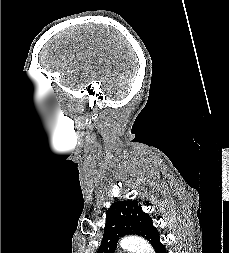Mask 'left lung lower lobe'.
I'll list each match as a JSON object with an SVG mask.
<instances>
[{
  "label": "left lung lower lobe",
  "instance_id": "0a47b994",
  "mask_svg": "<svg viewBox=\"0 0 229 253\" xmlns=\"http://www.w3.org/2000/svg\"><path fill=\"white\" fill-rule=\"evenodd\" d=\"M153 248L156 253H166V249L160 240L153 246Z\"/></svg>",
  "mask_w": 229,
  "mask_h": 253
}]
</instances>
